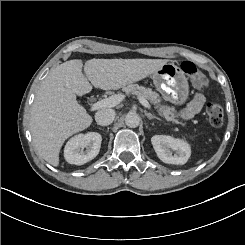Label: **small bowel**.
Listing matches in <instances>:
<instances>
[{"label": "small bowel", "mask_w": 245, "mask_h": 245, "mask_svg": "<svg viewBox=\"0 0 245 245\" xmlns=\"http://www.w3.org/2000/svg\"><path fill=\"white\" fill-rule=\"evenodd\" d=\"M205 104V96L201 93L195 94L193 99L189 102L187 107L182 112L184 119H190L198 114Z\"/></svg>", "instance_id": "obj_1"}]
</instances>
